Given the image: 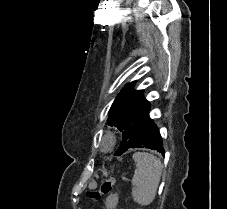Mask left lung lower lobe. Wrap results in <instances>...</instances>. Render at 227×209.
Returning <instances> with one entry per match:
<instances>
[{
    "label": "left lung lower lobe",
    "mask_w": 227,
    "mask_h": 209,
    "mask_svg": "<svg viewBox=\"0 0 227 209\" xmlns=\"http://www.w3.org/2000/svg\"><path fill=\"white\" fill-rule=\"evenodd\" d=\"M162 138L159 129L153 122V120L147 114L143 117L139 127L137 129L135 138L130 145V148H149L157 150L164 154V148L162 145Z\"/></svg>",
    "instance_id": "0a47b994"
}]
</instances>
